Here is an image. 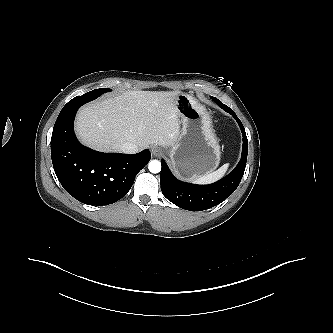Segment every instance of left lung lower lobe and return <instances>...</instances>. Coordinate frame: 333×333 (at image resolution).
Masks as SVG:
<instances>
[{"mask_svg":"<svg viewBox=\"0 0 333 333\" xmlns=\"http://www.w3.org/2000/svg\"><path fill=\"white\" fill-rule=\"evenodd\" d=\"M211 99L220 108L231 114L239 124L243 135L242 156L238 165L230 174L209 185H196L176 179L166 162L162 160L160 183L163 195L178 207L189 211L206 210L224 201L238 187L246 167L248 140L243 124L231 108L215 97H211Z\"/></svg>","mask_w":333,"mask_h":333,"instance_id":"left-lung-lower-lobe-1","label":"left lung lower lobe"}]
</instances>
